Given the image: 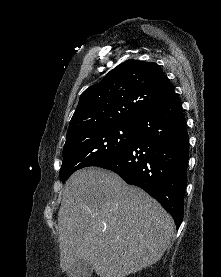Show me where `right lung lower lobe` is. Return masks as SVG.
<instances>
[{"instance_id": "1", "label": "right lung lower lobe", "mask_w": 221, "mask_h": 277, "mask_svg": "<svg viewBox=\"0 0 221 277\" xmlns=\"http://www.w3.org/2000/svg\"><path fill=\"white\" fill-rule=\"evenodd\" d=\"M134 124L127 150L96 166L114 171L126 183L149 193L171 214L178 229L184 212L189 139L177 94L141 115Z\"/></svg>"}]
</instances>
